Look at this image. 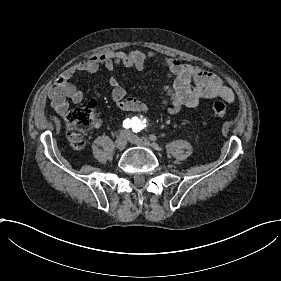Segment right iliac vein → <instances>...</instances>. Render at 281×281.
Masks as SVG:
<instances>
[{"label": "right iliac vein", "mask_w": 281, "mask_h": 281, "mask_svg": "<svg viewBox=\"0 0 281 281\" xmlns=\"http://www.w3.org/2000/svg\"><path fill=\"white\" fill-rule=\"evenodd\" d=\"M126 141H127V138L125 135H123V134L118 135L114 142L116 149L120 148L123 150V148L126 146V143H127Z\"/></svg>", "instance_id": "1"}]
</instances>
